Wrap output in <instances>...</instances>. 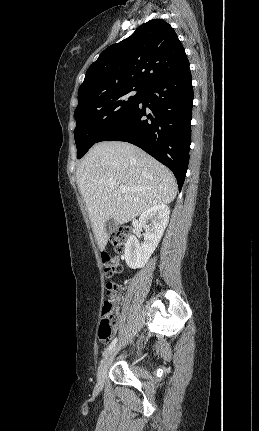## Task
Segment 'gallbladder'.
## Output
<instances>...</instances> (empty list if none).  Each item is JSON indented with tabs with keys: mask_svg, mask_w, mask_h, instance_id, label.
<instances>
[{
	"mask_svg": "<svg viewBox=\"0 0 259 431\" xmlns=\"http://www.w3.org/2000/svg\"><path fill=\"white\" fill-rule=\"evenodd\" d=\"M105 228L109 235L112 234L117 228L116 221L113 218H109L105 223Z\"/></svg>",
	"mask_w": 259,
	"mask_h": 431,
	"instance_id": "obj_1",
	"label": "gallbladder"
}]
</instances>
